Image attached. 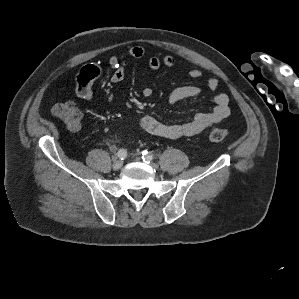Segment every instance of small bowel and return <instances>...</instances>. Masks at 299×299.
I'll return each mask as SVG.
<instances>
[{
  "instance_id": "c3829d8e",
  "label": "small bowel",
  "mask_w": 299,
  "mask_h": 299,
  "mask_svg": "<svg viewBox=\"0 0 299 299\" xmlns=\"http://www.w3.org/2000/svg\"><path fill=\"white\" fill-rule=\"evenodd\" d=\"M146 55V51L141 46H134L128 49L120 56H112L109 59V65L113 72L111 81L119 83L125 78L128 59L142 58ZM174 65V59L171 56H151L148 59V68L151 71L158 70L160 67H171ZM100 74V68L96 64L84 66L78 74L76 85V96L80 100H90L93 96L92 83ZM188 75L197 79L202 76V72L198 68H191ZM207 87L211 91H215L218 87V80L210 78ZM203 92V89L194 85H186L175 88L169 95L170 104H177L182 100L196 97ZM153 90L149 86L142 89L144 97H150ZM215 106L212 111L197 113L191 120L179 124H167L160 121L151 113L143 115L139 120L140 128L148 134L164 137L169 139H177L180 137H189L201 133L213 124L219 123L230 115L229 97L225 93H217L214 96ZM115 148L113 147L112 150Z\"/></svg>"
}]
</instances>
